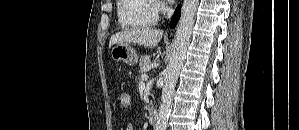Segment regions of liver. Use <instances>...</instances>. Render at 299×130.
<instances>
[{
    "label": "liver",
    "instance_id": "1",
    "mask_svg": "<svg viewBox=\"0 0 299 130\" xmlns=\"http://www.w3.org/2000/svg\"><path fill=\"white\" fill-rule=\"evenodd\" d=\"M163 31L152 28H130L116 33L110 38L109 47L114 44H138L153 48L161 40Z\"/></svg>",
    "mask_w": 299,
    "mask_h": 130
}]
</instances>
